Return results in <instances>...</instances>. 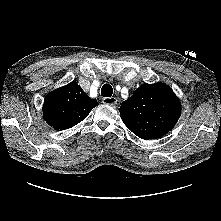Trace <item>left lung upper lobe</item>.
Returning a JSON list of instances; mask_svg holds the SVG:
<instances>
[{
  "instance_id": "obj_1",
  "label": "left lung upper lobe",
  "mask_w": 221,
  "mask_h": 221,
  "mask_svg": "<svg viewBox=\"0 0 221 221\" xmlns=\"http://www.w3.org/2000/svg\"><path fill=\"white\" fill-rule=\"evenodd\" d=\"M124 124L138 137L149 140L167 134L177 123L181 104L163 83L144 84L119 108Z\"/></svg>"
}]
</instances>
